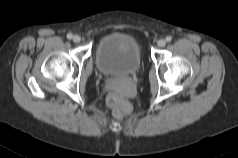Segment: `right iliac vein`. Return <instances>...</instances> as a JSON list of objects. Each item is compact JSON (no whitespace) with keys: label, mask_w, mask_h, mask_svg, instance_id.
<instances>
[{"label":"right iliac vein","mask_w":238,"mask_h":158,"mask_svg":"<svg viewBox=\"0 0 238 158\" xmlns=\"http://www.w3.org/2000/svg\"><path fill=\"white\" fill-rule=\"evenodd\" d=\"M72 40H73V42H75V43H79V42L81 41V37L78 36V35H75V36H73Z\"/></svg>","instance_id":"63e3f726"}]
</instances>
